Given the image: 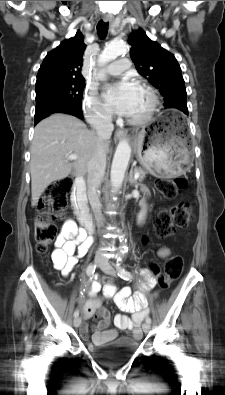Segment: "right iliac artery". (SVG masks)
Listing matches in <instances>:
<instances>
[{"label":"right iliac artery","instance_id":"1","mask_svg":"<svg viewBox=\"0 0 225 395\" xmlns=\"http://www.w3.org/2000/svg\"><path fill=\"white\" fill-rule=\"evenodd\" d=\"M95 268H96V265H93V264H90V265L86 268V274H87L90 278H92V276H93V274H94V272H95ZM78 315H79V311L76 310V311L74 312V317H78Z\"/></svg>","mask_w":225,"mask_h":395}]
</instances>
